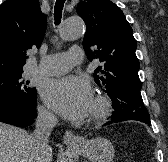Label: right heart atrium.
<instances>
[{"label": "right heart atrium", "instance_id": "obj_1", "mask_svg": "<svg viewBox=\"0 0 168 162\" xmlns=\"http://www.w3.org/2000/svg\"><path fill=\"white\" fill-rule=\"evenodd\" d=\"M39 116L42 120L50 122L54 119L53 115L45 108H39Z\"/></svg>", "mask_w": 168, "mask_h": 162}]
</instances>
